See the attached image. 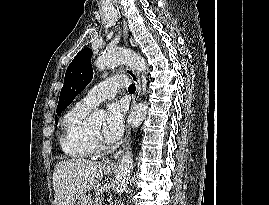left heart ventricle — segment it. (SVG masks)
<instances>
[{"mask_svg":"<svg viewBox=\"0 0 269 205\" xmlns=\"http://www.w3.org/2000/svg\"><path fill=\"white\" fill-rule=\"evenodd\" d=\"M102 129H103V126H102V125H99V126H96V127L92 128V129L90 130V132H91L93 135H95V136L99 137L100 139H102L106 144H108V143L102 138Z\"/></svg>","mask_w":269,"mask_h":205,"instance_id":"left-heart-ventricle-1","label":"left heart ventricle"}]
</instances>
